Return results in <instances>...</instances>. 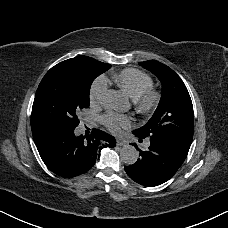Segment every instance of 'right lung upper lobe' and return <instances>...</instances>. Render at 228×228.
Wrapping results in <instances>:
<instances>
[{"label": "right lung upper lobe", "instance_id": "1", "mask_svg": "<svg viewBox=\"0 0 228 228\" xmlns=\"http://www.w3.org/2000/svg\"><path fill=\"white\" fill-rule=\"evenodd\" d=\"M87 58H90V57L77 56L75 58H71V59L65 60V61L61 62V64L77 65V64H80L81 62L85 61Z\"/></svg>", "mask_w": 228, "mask_h": 228}]
</instances>
